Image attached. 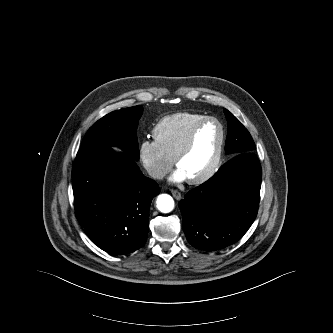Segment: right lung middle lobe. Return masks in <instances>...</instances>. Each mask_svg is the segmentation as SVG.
Segmentation results:
<instances>
[{
    "label": "right lung middle lobe",
    "instance_id": "dd1d6c3e",
    "mask_svg": "<svg viewBox=\"0 0 333 333\" xmlns=\"http://www.w3.org/2000/svg\"><path fill=\"white\" fill-rule=\"evenodd\" d=\"M142 112L141 106H134L105 115L88 130L81 150L109 148L115 145L131 157L138 159L136 129Z\"/></svg>",
    "mask_w": 333,
    "mask_h": 333
}]
</instances>
